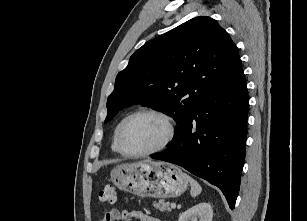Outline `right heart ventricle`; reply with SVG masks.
I'll list each match as a JSON object with an SVG mask.
<instances>
[{
  "label": "right heart ventricle",
  "instance_id": "right-heart-ventricle-1",
  "mask_svg": "<svg viewBox=\"0 0 307 221\" xmlns=\"http://www.w3.org/2000/svg\"><path fill=\"white\" fill-rule=\"evenodd\" d=\"M127 117H123L116 125L115 129H114V134H113V140H112V145H111V148L113 150V152L115 153H119L118 149H117V135H118V132H119V129L121 127V125L123 124L124 120L126 119Z\"/></svg>",
  "mask_w": 307,
  "mask_h": 221
}]
</instances>
